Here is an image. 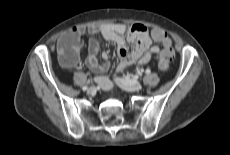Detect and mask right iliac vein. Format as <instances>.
I'll return each mask as SVG.
<instances>
[{
  "mask_svg": "<svg viewBox=\"0 0 230 155\" xmlns=\"http://www.w3.org/2000/svg\"><path fill=\"white\" fill-rule=\"evenodd\" d=\"M96 92V88L94 86H91L87 89L88 94H94Z\"/></svg>",
  "mask_w": 230,
  "mask_h": 155,
  "instance_id": "right-iliac-vein-1",
  "label": "right iliac vein"
}]
</instances>
